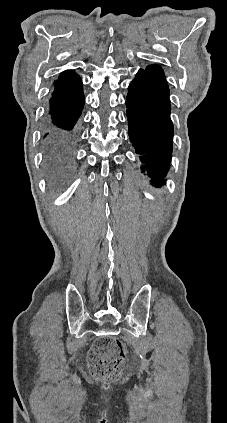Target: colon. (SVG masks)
Returning a JSON list of instances; mask_svg holds the SVG:
<instances>
[{"mask_svg":"<svg viewBox=\"0 0 227 423\" xmlns=\"http://www.w3.org/2000/svg\"><path fill=\"white\" fill-rule=\"evenodd\" d=\"M125 351L122 343L112 336L95 340L89 352V365L101 379L118 378L122 371Z\"/></svg>","mask_w":227,"mask_h":423,"instance_id":"1","label":"colon"}]
</instances>
